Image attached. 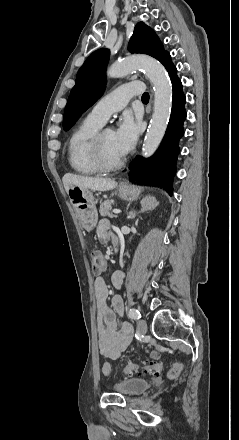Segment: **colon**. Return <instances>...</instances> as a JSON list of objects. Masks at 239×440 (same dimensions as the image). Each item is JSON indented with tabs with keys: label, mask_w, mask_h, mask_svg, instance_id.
Instances as JSON below:
<instances>
[{
	"label": "colon",
	"mask_w": 239,
	"mask_h": 440,
	"mask_svg": "<svg viewBox=\"0 0 239 440\" xmlns=\"http://www.w3.org/2000/svg\"><path fill=\"white\" fill-rule=\"evenodd\" d=\"M90 258L93 271L95 273H100L103 270V259L101 253L99 251H93ZM180 367L181 365L179 363H176L171 371V375H175L180 370ZM110 369V365L108 363H105L103 366L104 374L109 375ZM159 369L160 364L156 360H151L143 366H139L136 363H129L124 370V376H130L133 372L140 371H143L145 373H156L159 371Z\"/></svg>",
	"instance_id": "5ec220e1"
}]
</instances>
